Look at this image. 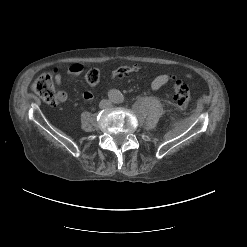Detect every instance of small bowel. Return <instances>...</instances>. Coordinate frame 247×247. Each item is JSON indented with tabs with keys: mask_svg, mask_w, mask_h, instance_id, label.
I'll use <instances>...</instances> for the list:
<instances>
[{
	"mask_svg": "<svg viewBox=\"0 0 247 247\" xmlns=\"http://www.w3.org/2000/svg\"><path fill=\"white\" fill-rule=\"evenodd\" d=\"M138 67L133 66V67H120L117 68L114 72L113 75L115 77H122L124 75H127L128 73L137 70ZM84 71V66L79 63H75L71 65L67 71V76L69 81H72L76 76L80 75ZM54 77H55V82L58 86H61L63 83L64 79V73L58 69L55 70L54 72ZM188 78H191V75H187ZM170 75L168 74H160L156 76L152 82H151V88L154 91L160 90L164 85H166L169 80H170ZM83 97L87 101H91L93 99V93L91 91H85L83 93ZM58 99L60 102H63L67 99V94L64 91H59L58 92Z\"/></svg>",
	"mask_w": 247,
	"mask_h": 247,
	"instance_id": "obj_1",
	"label": "small bowel"
}]
</instances>
